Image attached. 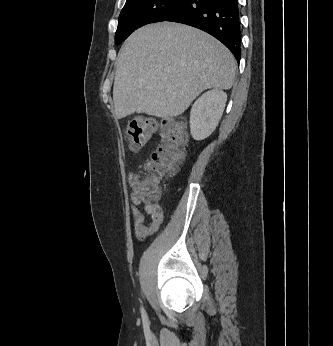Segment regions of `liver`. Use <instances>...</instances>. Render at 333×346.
Here are the masks:
<instances>
[{
    "mask_svg": "<svg viewBox=\"0 0 333 346\" xmlns=\"http://www.w3.org/2000/svg\"><path fill=\"white\" fill-rule=\"evenodd\" d=\"M236 61L211 35L178 23L136 30L121 47L113 87L114 114L181 115L209 88L228 90Z\"/></svg>",
    "mask_w": 333,
    "mask_h": 346,
    "instance_id": "obj_1",
    "label": "liver"
}]
</instances>
